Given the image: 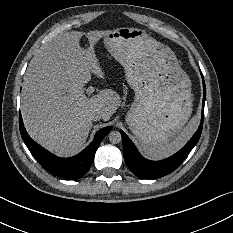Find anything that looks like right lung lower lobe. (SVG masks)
<instances>
[{
	"label": "right lung lower lobe",
	"instance_id": "1",
	"mask_svg": "<svg viewBox=\"0 0 233 233\" xmlns=\"http://www.w3.org/2000/svg\"><path fill=\"white\" fill-rule=\"evenodd\" d=\"M19 128L22 139L43 168L58 177L75 180L83 176L89 169L99 144L110 132L112 127L108 126L99 130L96 133L93 142L81 153L71 158L57 157L34 142L24 128L21 114L19 117Z\"/></svg>",
	"mask_w": 233,
	"mask_h": 233
}]
</instances>
